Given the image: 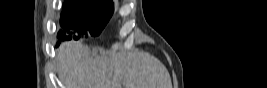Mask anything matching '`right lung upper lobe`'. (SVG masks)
Here are the masks:
<instances>
[{"label":"right lung upper lobe","instance_id":"right-lung-upper-lobe-1","mask_svg":"<svg viewBox=\"0 0 267 88\" xmlns=\"http://www.w3.org/2000/svg\"><path fill=\"white\" fill-rule=\"evenodd\" d=\"M98 1H105V2H111L112 3V0H98Z\"/></svg>","mask_w":267,"mask_h":88}]
</instances>
